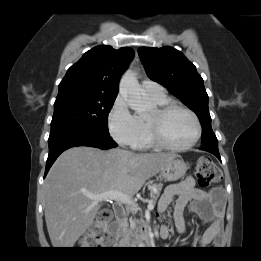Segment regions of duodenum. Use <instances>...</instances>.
Listing matches in <instances>:
<instances>
[{
	"label": "duodenum",
	"instance_id": "410a0bca",
	"mask_svg": "<svg viewBox=\"0 0 261 261\" xmlns=\"http://www.w3.org/2000/svg\"><path fill=\"white\" fill-rule=\"evenodd\" d=\"M122 225L119 222L110 223L105 229L106 239L104 241L105 245L118 246V233L121 230ZM139 240L144 245L148 244L149 236L146 230H143L139 236Z\"/></svg>",
	"mask_w": 261,
	"mask_h": 261
}]
</instances>
